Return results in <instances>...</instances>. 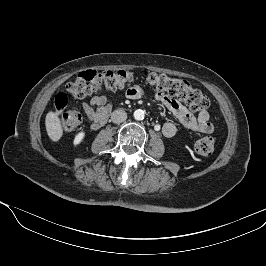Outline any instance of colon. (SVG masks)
I'll return each mask as SVG.
<instances>
[{
    "label": "colon",
    "instance_id": "obj_1",
    "mask_svg": "<svg viewBox=\"0 0 266 266\" xmlns=\"http://www.w3.org/2000/svg\"><path fill=\"white\" fill-rule=\"evenodd\" d=\"M142 77L154 90L184 101L194 112H205L209 107L207 96L187 80L148 71H145ZM134 80L135 75L128 70L102 72L87 70L80 72L76 79L67 85V91L73 98L82 99L100 89L118 90L128 87ZM67 104V94L57 93L54 98V107L60 114L63 129L73 131L81 124L82 115L76 109L64 111ZM214 146L215 142L212 137H203L195 142L194 149L200 155L209 156L213 153Z\"/></svg>",
    "mask_w": 266,
    "mask_h": 266
}]
</instances>
